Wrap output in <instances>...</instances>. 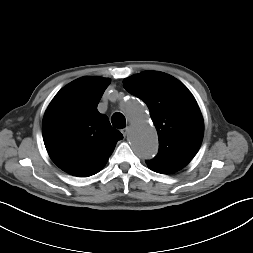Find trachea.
Instances as JSON below:
<instances>
[{"label":"trachea","instance_id":"trachea-1","mask_svg":"<svg viewBox=\"0 0 253 253\" xmlns=\"http://www.w3.org/2000/svg\"><path fill=\"white\" fill-rule=\"evenodd\" d=\"M111 122H112V125L118 129L124 128L126 126V120L122 113L117 112L113 114L111 118Z\"/></svg>","mask_w":253,"mask_h":253}]
</instances>
